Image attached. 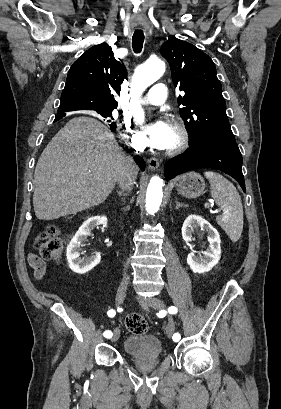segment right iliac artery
<instances>
[{
  "instance_id": "1",
  "label": "right iliac artery",
  "mask_w": 281,
  "mask_h": 409,
  "mask_svg": "<svg viewBox=\"0 0 281 409\" xmlns=\"http://www.w3.org/2000/svg\"><path fill=\"white\" fill-rule=\"evenodd\" d=\"M107 314H108L109 317H114L115 316V311L111 309V310L108 311ZM104 336L106 338H111L112 337V332L110 330H107V331L104 332Z\"/></svg>"
}]
</instances>
